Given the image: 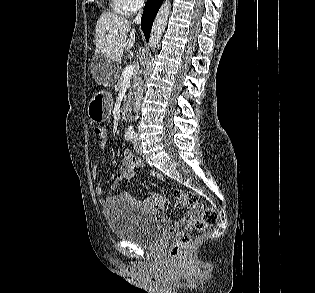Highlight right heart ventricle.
I'll return each instance as SVG.
<instances>
[{"label":"right heart ventricle","instance_id":"e07e8e85","mask_svg":"<svg viewBox=\"0 0 315 293\" xmlns=\"http://www.w3.org/2000/svg\"><path fill=\"white\" fill-rule=\"evenodd\" d=\"M111 7L112 9L122 15L129 14V11L124 6L122 0H111Z\"/></svg>","mask_w":315,"mask_h":293}]
</instances>
